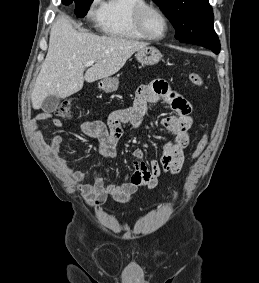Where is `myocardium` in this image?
Segmentation results:
<instances>
[{
  "label": "myocardium",
  "mask_w": 259,
  "mask_h": 283,
  "mask_svg": "<svg viewBox=\"0 0 259 283\" xmlns=\"http://www.w3.org/2000/svg\"><path fill=\"white\" fill-rule=\"evenodd\" d=\"M151 13L158 14L163 19V21L165 22L166 31H165L164 35H162L161 37H155V36L151 35L149 30H148L147 17ZM135 23H136L138 30L142 33V35L146 39H149L151 41H162V40H164L168 36L170 28H171L170 20H169L168 16L165 14V12L160 7L155 6V5H150V4L138 7L136 9V11H135Z\"/></svg>",
  "instance_id": "obj_1"
}]
</instances>
